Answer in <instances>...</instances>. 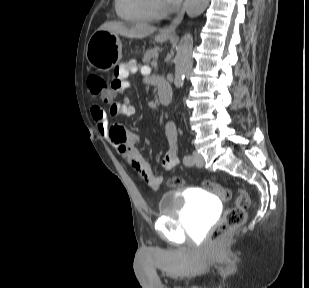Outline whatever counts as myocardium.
I'll use <instances>...</instances> for the list:
<instances>
[{
	"label": "myocardium",
	"instance_id": "1",
	"mask_svg": "<svg viewBox=\"0 0 309 288\" xmlns=\"http://www.w3.org/2000/svg\"><path fill=\"white\" fill-rule=\"evenodd\" d=\"M154 3L155 10L158 14H165L166 13V7L163 2V0H152Z\"/></svg>",
	"mask_w": 309,
	"mask_h": 288
}]
</instances>
